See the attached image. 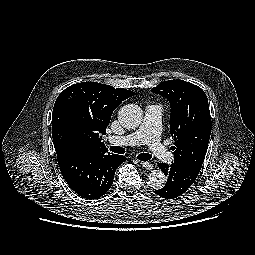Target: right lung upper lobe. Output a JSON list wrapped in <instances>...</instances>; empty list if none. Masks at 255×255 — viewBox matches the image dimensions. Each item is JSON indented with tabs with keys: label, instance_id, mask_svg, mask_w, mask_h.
<instances>
[{
	"label": "right lung upper lobe",
	"instance_id": "cb5924a9",
	"mask_svg": "<svg viewBox=\"0 0 255 255\" xmlns=\"http://www.w3.org/2000/svg\"><path fill=\"white\" fill-rule=\"evenodd\" d=\"M133 91L96 82L69 86L57 97L52 114V137L57 156L107 154L102 136L115 108Z\"/></svg>",
	"mask_w": 255,
	"mask_h": 255
}]
</instances>
